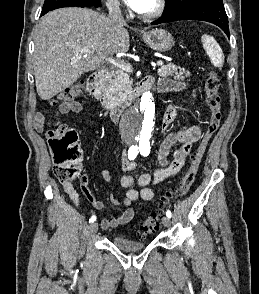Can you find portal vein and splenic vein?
Instances as JSON below:
<instances>
[{"label":"portal vein and splenic vein","instance_id":"obj_1","mask_svg":"<svg viewBox=\"0 0 259 294\" xmlns=\"http://www.w3.org/2000/svg\"><path fill=\"white\" fill-rule=\"evenodd\" d=\"M81 51L82 52H91L93 51V47L92 46H86V47H83L81 48ZM111 64H113L114 66L122 69V70H125L127 72H131L132 71V67L130 64L122 61V60H119V59H114L112 57L108 58L107 59ZM152 65H157V66H162L163 65V62L162 61H157L156 63H152Z\"/></svg>","mask_w":259,"mask_h":294}]
</instances>
